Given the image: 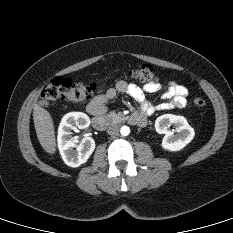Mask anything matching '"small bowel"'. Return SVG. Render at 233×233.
<instances>
[{"label": "small bowel", "instance_id": "1", "mask_svg": "<svg viewBox=\"0 0 233 233\" xmlns=\"http://www.w3.org/2000/svg\"><path fill=\"white\" fill-rule=\"evenodd\" d=\"M162 91L164 102L153 105L147 101L146 93H156ZM117 92L126 93L138 102L140 114L145 117L150 116L159 111H166L175 108H183L187 103L188 91L175 81H168L166 84L146 83L138 86L134 83L119 81L116 87L109 89L106 93L96 96L87 106V110L91 114H102L106 111V104L113 99Z\"/></svg>", "mask_w": 233, "mask_h": 233}]
</instances>
